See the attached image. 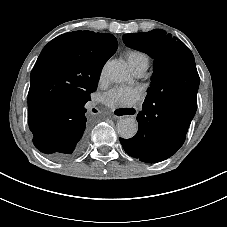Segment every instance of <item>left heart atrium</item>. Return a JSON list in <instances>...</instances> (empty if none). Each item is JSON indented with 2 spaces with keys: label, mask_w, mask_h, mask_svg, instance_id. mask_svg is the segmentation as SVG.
Wrapping results in <instances>:
<instances>
[{
  "label": "left heart atrium",
  "mask_w": 227,
  "mask_h": 227,
  "mask_svg": "<svg viewBox=\"0 0 227 227\" xmlns=\"http://www.w3.org/2000/svg\"><path fill=\"white\" fill-rule=\"evenodd\" d=\"M143 97V93L136 88L116 87L104 94L103 102L114 108L135 106Z\"/></svg>",
  "instance_id": "39dd6f15"
}]
</instances>
